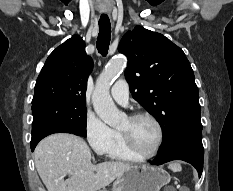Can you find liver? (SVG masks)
<instances>
[{
    "mask_svg": "<svg viewBox=\"0 0 233 191\" xmlns=\"http://www.w3.org/2000/svg\"><path fill=\"white\" fill-rule=\"evenodd\" d=\"M37 172L48 191H100L132 165L124 162L91 163V151L80 137L52 134L36 147ZM70 177L64 181V177Z\"/></svg>",
    "mask_w": 233,
    "mask_h": 191,
    "instance_id": "liver-1",
    "label": "liver"
}]
</instances>
